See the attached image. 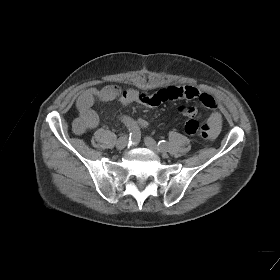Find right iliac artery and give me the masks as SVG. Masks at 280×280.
I'll list each match as a JSON object with an SVG mask.
<instances>
[{
	"mask_svg": "<svg viewBox=\"0 0 280 280\" xmlns=\"http://www.w3.org/2000/svg\"><path fill=\"white\" fill-rule=\"evenodd\" d=\"M122 121L128 127L129 130V141L128 146H136L141 139V131L137 124L130 117L124 116Z\"/></svg>",
	"mask_w": 280,
	"mask_h": 280,
	"instance_id": "right-iliac-artery-1",
	"label": "right iliac artery"
}]
</instances>
